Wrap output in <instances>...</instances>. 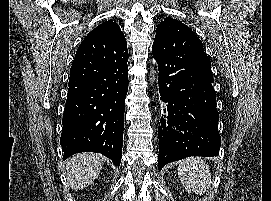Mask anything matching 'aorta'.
<instances>
[{
    "mask_svg": "<svg viewBox=\"0 0 271 201\" xmlns=\"http://www.w3.org/2000/svg\"><path fill=\"white\" fill-rule=\"evenodd\" d=\"M154 73H155V71L152 70V71H151V75H152L151 80H152V81L155 79V78H154Z\"/></svg>",
    "mask_w": 271,
    "mask_h": 201,
    "instance_id": "1",
    "label": "aorta"
}]
</instances>
